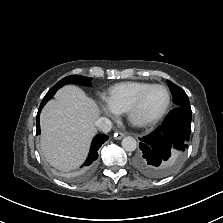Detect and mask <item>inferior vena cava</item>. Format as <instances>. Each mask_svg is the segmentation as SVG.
<instances>
[{
	"mask_svg": "<svg viewBox=\"0 0 223 223\" xmlns=\"http://www.w3.org/2000/svg\"><path fill=\"white\" fill-rule=\"evenodd\" d=\"M95 126L101 130L102 132H109L112 128V123L111 121L106 118V117H100L96 122H95Z\"/></svg>",
	"mask_w": 223,
	"mask_h": 223,
	"instance_id": "602c4592",
	"label": "inferior vena cava"
}]
</instances>
